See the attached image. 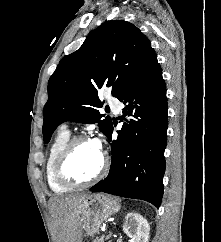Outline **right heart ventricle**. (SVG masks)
I'll use <instances>...</instances> for the list:
<instances>
[{"label":"right heart ventricle","mask_w":221,"mask_h":242,"mask_svg":"<svg viewBox=\"0 0 221 242\" xmlns=\"http://www.w3.org/2000/svg\"><path fill=\"white\" fill-rule=\"evenodd\" d=\"M69 137L70 135L68 131L60 130L52 140L48 149L45 163V175L47 184L54 193H66L73 188L62 184L55 175L56 161L61 150L69 140Z\"/></svg>","instance_id":"obj_1"}]
</instances>
